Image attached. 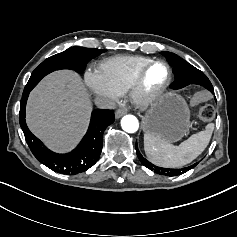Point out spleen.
Instances as JSON below:
<instances>
[{
    "instance_id": "obj_1",
    "label": "spleen",
    "mask_w": 237,
    "mask_h": 237,
    "mask_svg": "<svg viewBox=\"0 0 237 237\" xmlns=\"http://www.w3.org/2000/svg\"><path fill=\"white\" fill-rule=\"evenodd\" d=\"M213 128V124H208L206 130L193 134L179 146L168 143L151 133H145L146 155L156 165L170 168L181 167L202 153L210 140Z\"/></svg>"
}]
</instances>
